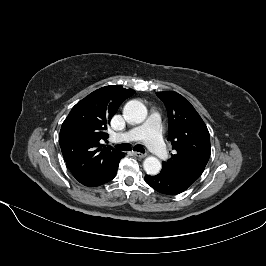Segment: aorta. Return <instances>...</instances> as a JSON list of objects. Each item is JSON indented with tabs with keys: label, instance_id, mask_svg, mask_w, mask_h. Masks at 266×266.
<instances>
[{
	"label": "aorta",
	"instance_id": "762f6f07",
	"mask_svg": "<svg viewBox=\"0 0 266 266\" xmlns=\"http://www.w3.org/2000/svg\"><path fill=\"white\" fill-rule=\"evenodd\" d=\"M124 114L131 123L140 124L147 117V108L140 101L131 100L125 105ZM143 168L147 174L157 175L162 165L158 158L149 156L144 160Z\"/></svg>",
	"mask_w": 266,
	"mask_h": 266
}]
</instances>
